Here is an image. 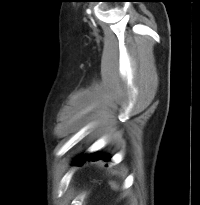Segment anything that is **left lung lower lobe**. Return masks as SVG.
<instances>
[{
	"label": "left lung lower lobe",
	"instance_id": "left-lung-lower-lobe-1",
	"mask_svg": "<svg viewBox=\"0 0 200 205\" xmlns=\"http://www.w3.org/2000/svg\"><path fill=\"white\" fill-rule=\"evenodd\" d=\"M99 159H103L104 161L109 160L106 157H101L100 155L94 153V154L82 157L80 159H77L73 164L74 165H82L85 161H97Z\"/></svg>",
	"mask_w": 200,
	"mask_h": 205
}]
</instances>
